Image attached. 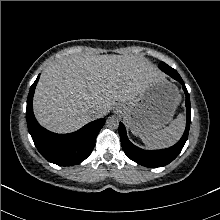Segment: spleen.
Wrapping results in <instances>:
<instances>
[{
    "label": "spleen",
    "mask_w": 220,
    "mask_h": 220,
    "mask_svg": "<svg viewBox=\"0 0 220 220\" xmlns=\"http://www.w3.org/2000/svg\"><path fill=\"white\" fill-rule=\"evenodd\" d=\"M185 128V118L183 114H179L169 126L159 131L148 132L140 135L143 143L152 149H159L172 146L183 134Z\"/></svg>",
    "instance_id": "3e777b00"
}]
</instances>
